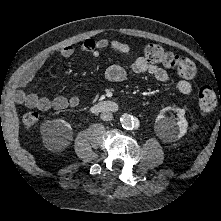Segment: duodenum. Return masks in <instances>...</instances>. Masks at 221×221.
<instances>
[{
  "mask_svg": "<svg viewBox=\"0 0 221 221\" xmlns=\"http://www.w3.org/2000/svg\"><path fill=\"white\" fill-rule=\"evenodd\" d=\"M93 112H115L118 106L113 101H102L91 106Z\"/></svg>",
  "mask_w": 221,
  "mask_h": 221,
  "instance_id": "1",
  "label": "duodenum"
}]
</instances>
